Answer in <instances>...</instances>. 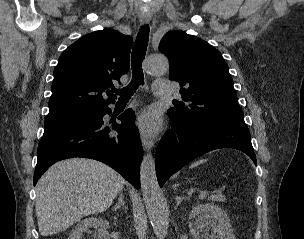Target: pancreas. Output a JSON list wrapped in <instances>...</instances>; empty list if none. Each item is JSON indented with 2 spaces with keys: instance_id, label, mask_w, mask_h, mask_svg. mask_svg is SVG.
Returning a JSON list of instances; mask_svg holds the SVG:
<instances>
[{
  "instance_id": "obj_1",
  "label": "pancreas",
  "mask_w": 304,
  "mask_h": 239,
  "mask_svg": "<svg viewBox=\"0 0 304 239\" xmlns=\"http://www.w3.org/2000/svg\"><path fill=\"white\" fill-rule=\"evenodd\" d=\"M210 200L216 201V202H221L223 201V198L220 195H214L210 197Z\"/></svg>"
}]
</instances>
